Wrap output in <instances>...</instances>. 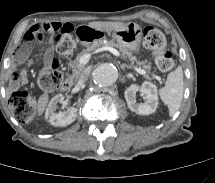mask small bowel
Instances as JSON below:
<instances>
[{"mask_svg":"<svg viewBox=\"0 0 215 183\" xmlns=\"http://www.w3.org/2000/svg\"><path fill=\"white\" fill-rule=\"evenodd\" d=\"M63 29H72L70 24L52 21V22H42L32 25L24 34L23 41L21 43L20 49L23 52L24 45L32 44L34 41L42 36L43 34H54L60 32ZM24 44V45H23ZM11 72H15V69L12 68ZM25 76H17L13 78L10 82V88L12 90L18 89L21 85L25 84Z\"/></svg>","mask_w":215,"mask_h":183,"instance_id":"obj_1","label":"small bowel"}]
</instances>
